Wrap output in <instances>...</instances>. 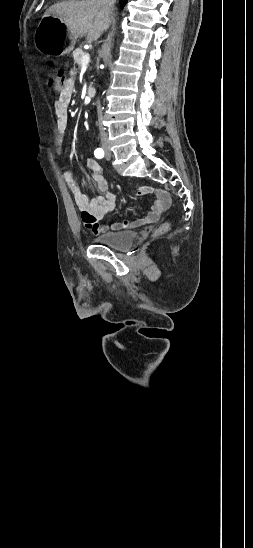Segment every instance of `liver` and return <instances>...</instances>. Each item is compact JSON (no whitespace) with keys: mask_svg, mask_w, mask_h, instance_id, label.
I'll use <instances>...</instances> for the list:
<instances>
[{"mask_svg":"<svg viewBox=\"0 0 253 548\" xmlns=\"http://www.w3.org/2000/svg\"><path fill=\"white\" fill-rule=\"evenodd\" d=\"M47 16L59 18L75 40L87 35L89 41H95L110 25L100 0L55 3L43 17Z\"/></svg>","mask_w":253,"mask_h":548,"instance_id":"1","label":"liver"}]
</instances>
